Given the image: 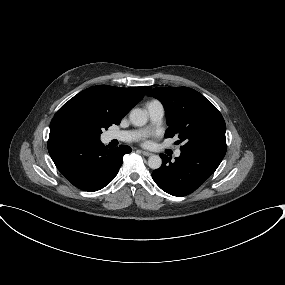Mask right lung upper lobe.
<instances>
[{"instance_id": "obj_1", "label": "right lung upper lobe", "mask_w": 285, "mask_h": 285, "mask_svg": "<svg viewBox=\"0 0 285 285\" xmlns=\"http://www.w3.org/2000/svg\"><path fill=\"white\" fill-rule=\"evenodd\" d=\"M150 89L149 86L120 88L108 85L87 88L57 111L50 123V131L63 130V121L70 117L101 118L118 125Z\"/></svg>"}]
</instances>
